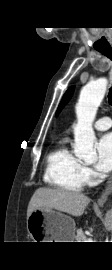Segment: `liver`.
Instances as JSON below:
<instances>
[{
    "instance_id": "obj_1",
    "label": "liver",
    "mask_w": 112,
    "mask_h": 270,
    "mask_svg": "<svg viewBox=\"0 0 112 270\" xmlns=\"http://www.w3.org/2000/svg\"><path fill=\"white\" fill-rule=\"evenodd\" d=\"M90 202L86 195L64 189L39 188L30 199L27 218L36 209H55L72 216H81Z\"/></svg>"
}]
</instances>
